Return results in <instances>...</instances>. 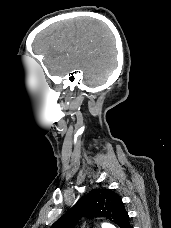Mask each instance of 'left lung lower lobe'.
Wrapping results in <instances>:
<instances>
[{
	"mask_svg": "<svg viewBox=\"0 0 171 228\" xmlns=\"http://www.w3.org/2000/svg\"><path fill=\"white\" fill-rule=\"evenodd\" d=\"M125 228H132L131 225H130V222H128L125 226Z\"/></svg>",
	"mask_w": 171,
	"mask_h": 228,
	"instance_id": "1",
	"label": "left lung lower lobe"
}]
</instances>
